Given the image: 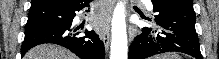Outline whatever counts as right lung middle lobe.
Here are the masks:
<instances>
[{"label": "right lung middle lobe", "mask_w": 219, "mask_h": 59, "mask_svg": "<svg viewBox=\"0 0 219 59\" xmlns=\"http://www.w3.org/2000/svg\"><path fill=\"white\" fill-rule=\"evenodd\" d=\"M47 9V8H45ZM36 9L29 11L28 21L25 31L59 23L62 17V12L58 9Z\"/></svg>", "instance_id": "dd1d6c3e"}]
</instances>
